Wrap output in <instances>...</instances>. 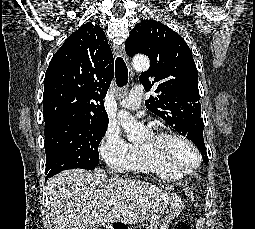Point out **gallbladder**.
<instances>
[{
    "instance_id": "bac80fb5",
    "label": "gallbladder",
    "mask_w": 255,
    "mask_h": 229,
    "mask_svg": "<svg viewBox=\"0 0 255 229\" xmlns=\"http://www.w3.org/2000/svg\"><path fill=\"white\" fill-rule=\"evenodd\" d=\"M88 229H99V228L96 227V226H93V227H90V228H88Z\"/></svg>"
}]
</instances>
